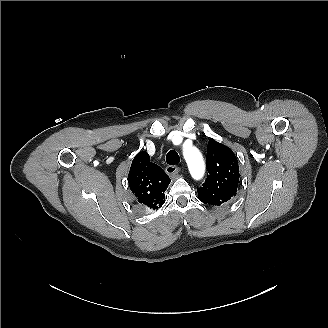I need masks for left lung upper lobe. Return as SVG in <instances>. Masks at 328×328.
<instances>
[{
    "label": "left lung upper lobe",
    "mask_w": 328,
    "mask_h": 328,
    "mask_svg": "<svg viewBox=\"0 0 328 328\" xmlns=\"http://www.w3.org/2000/svg\"><path fill=\"white\" fill-rule=\"evenodd\" d=\"M208 176L202 187L198 188L200 201L220 206L229 201L237 192L239 182L238 160L233 151L210 139L207 151Z\"/></svg>",
    "instance_id": "1"
}]
</instances>
